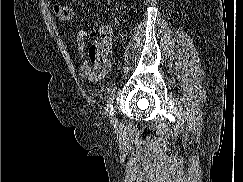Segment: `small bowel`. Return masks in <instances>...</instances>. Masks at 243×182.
<instances>
[{
	"label": "small bowel",
	"instance_id": "1",
	"mask_svg": "<svg viewBox=\"0 0 243 182\" xmlns=\"http://www.w3.org/2000/svg\"><path fill=\"white\" fill-rule=\"evenodd\" d=\"M88 33L79 28L76 32V46L80 60L79 74L89 81L103 80L111 70V61L108 57L100 59L93 45L89 52L86 51Z\"/></svg>",
	"mask_w": 243,
	"mask_h": 182
}]
</instances>
